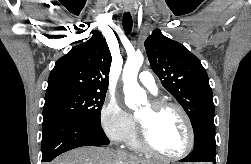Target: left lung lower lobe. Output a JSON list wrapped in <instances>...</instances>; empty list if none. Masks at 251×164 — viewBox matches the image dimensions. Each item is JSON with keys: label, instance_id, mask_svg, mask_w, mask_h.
I'll return each mask as SVG.
<instances>
[{"label": "left lung lower lobe", "instance_id": "obj_1", "mask_svg": "<svg viewBox=\"0 0 251 164\" xmlns=\"http://www.w3.org/2000/svg\"><path fill=\"white\" fill-rule=\"evenodd\" d=\"M215 151V134L203 132L194 138L193 152L184 162H212L216 164Z\"/></svg>", "mask_w": 251, "mask_h": 164}]
</instances>
